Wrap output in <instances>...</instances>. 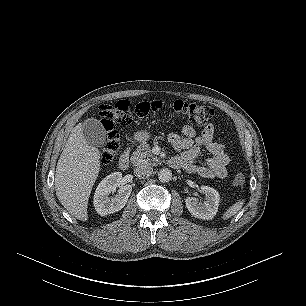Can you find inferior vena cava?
<instances>
[{"label":"inferior vena cava","mask_w":306,"mask_h":306,"mask_svg":"<svg viewBox=\"0 0 306 306\" xmlns=\"http://www.w3.org/2000/svg\"><path fill=\"white\" fill-rule=\"evenodd\" d=\"M153 168L149 165H141L134 169V174L138 178H147L152 175Z\"/></svg>","instance_id":"obj_1"}]
</instances>
